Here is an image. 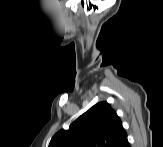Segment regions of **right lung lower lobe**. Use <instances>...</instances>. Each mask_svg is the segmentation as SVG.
Segmentation results:
<instances>
[{
    "instance_id": "98d812e1",
    "label": "right lung lower lobe",
    "mask_w": 163,
    "mask_h": 147,
    "mask_svg": "<svg viewBox=\"0 0 163 147\" xmlns=\"http://www.w3.org/2000/svg\"><path fill=\"white\" fill-rule=\"evenodd\" d=\"M113 147H130L128 140H127V134H125L119 141H117Z\"/></svg>"
}]
</instances>
